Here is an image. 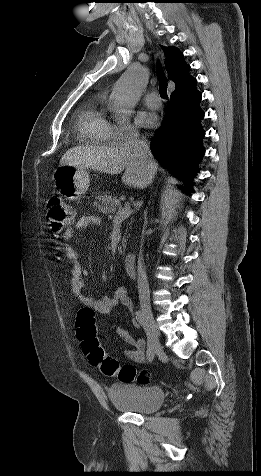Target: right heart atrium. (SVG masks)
Wrapping results in <instances>:
<instances>
[{
    "instance_id": "right-heart-atrium-1",
    "label": "right heart atrium",
    "mask_w": 261,
    "mask_h": 476,
    "mask_svg": "<svg viewBox=\"0 0 261 476\" xmlns=\"http://www.w3.org/2000/svg\"><path fill=\"white\" fill-rule=\"evenodd\" d=\"M137 135V128L129 122L118 123L113 126L112 137L114 140L121 141Z\"/></svg>"
}]
</instances>
